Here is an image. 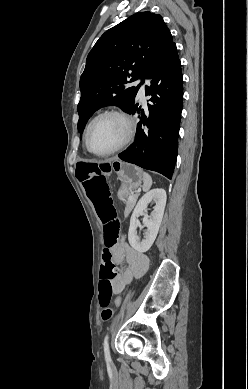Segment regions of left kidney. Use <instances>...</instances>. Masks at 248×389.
Segmentation results:
<instances>
[{"instance_id": "obj_1", "label": "left kidney", "mask_w": 248, "mask_h": 389, "mask_svg": "<svg viewBox=\"0 0 248 389\" xmlns=\"http://www.w3.org/2000/svg\"><path fill=\"white\" fill-rule=\"evenodd\" d=\"M166 199L167 196L165 190L156 188L144 194L138 201L130 219V227L128 232L129 243L132 248L138 252L148 251L154 243L163 218ZM152 200L155 202V206L153 207L151 215L148 216L147 206ZM140 213L145 214L143 225L147 227L145 239L142 241H140L137 235L136 227V219Z\"/></svg>"}]
</instances>
